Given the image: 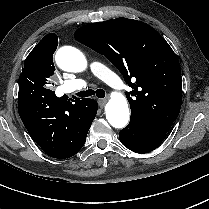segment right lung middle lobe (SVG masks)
I'll use <instances>...</instances> for the list:
<instances>
[{
  "instance_id": "obj_1",
  "label": "right lung middle lobe",
  "mask_w": 209,
  "mask_h": 209,
  "mask_svg": "<svg viewBox=\"0 0 209 209\" xmlns=\"http://www.w3.org/2000/svg\"><path fill=\"white\" fill-rule=\"evenodd\" d=\"M55 49L56 47L48 44L34 47L24 61V68L19 77V88L32 87L41 94L55 95L50 86L55 70L53 64Z\"/></svg>"
}]
</instances>
